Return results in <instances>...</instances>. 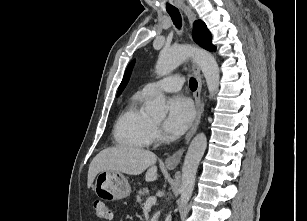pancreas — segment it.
<instances>
[{
	"label": "pancreas",
	"mask_w": 307,
	"mask_h": 221,
	"mask_svg": "<svg viewBox=\"0 0 307 221\" xmlns=\"http://www.w3.org/2000/svg\"><path fill=\"white\" fill-rule=\"evenodd\" d=\"M149 194V189L148 188H143L138 191V194L136 196V200L138 203L142 202V197L146 196Z\"/></svg>",
	"instance_id": "cf45deb5"
}]
</instances>
